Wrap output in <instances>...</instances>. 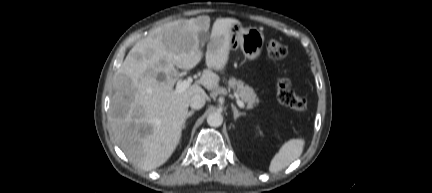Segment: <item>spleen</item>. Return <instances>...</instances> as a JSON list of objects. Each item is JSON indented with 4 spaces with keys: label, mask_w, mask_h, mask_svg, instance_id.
<instances>
[{
    "label": "spleen",
    "mask_w": 432,
    "mask_h": 193,
    "mask_svg": "<svg viewBox=\"0 0 432 193\" xmlns=\"http://www.w3.org/2000/svg\"><path fill=\"white\" fill-rule=\"evenodd\" d=\"M305 141L302 138L290 139L282 145L279 152L273 157L269 165L271 173H277L298 159L304 149Z\"/></svg>",
    "instance_id": "spleen-1"
}]
</instances>
